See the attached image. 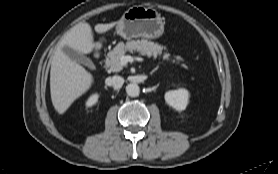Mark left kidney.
Returning <instances> with one entry per match:
<instances>
[{
  "mask_svg": "<svg viewBox=\"0 0 278 174\" xmlns=\"http://www.w3.org/2000/svg\"><path fill=\"white\" fill-rule=\"evenodd\" d=\"M189 93L186 89L168 91L165 94L166 103L178 111H182L188 104Z\"/></svg>",
  "mask_w": 278,
  "mask_h": 174,
  "instance_id": "left-kidney-1",
  "label": "left kidney"
}]
</instances>
